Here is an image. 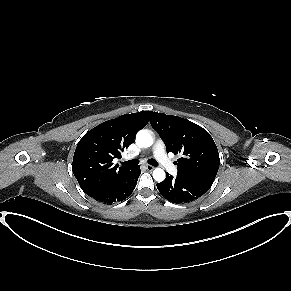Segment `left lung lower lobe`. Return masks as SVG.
I'll list each match as a JSON object with an SVG mask.
<instances>
[{
	"label": "left lung lower lobe",
	"mask_w": 291,
	"mask_h": 291,
	"mask_svg": "<svg viewBox=\"0 0 291 291\" xmlns=\"http://www.w3.org/2000/svg\"><path fill=\"white\" fill-rule=\"evenodd\" d=\"M213 182L177 175L167 174L166 179L157 184L161 195L172 203H187L198 199L206 193Z\"/></svg>",
	"instance_id": "1"
}]
</instances>
